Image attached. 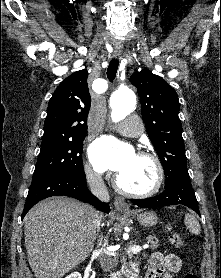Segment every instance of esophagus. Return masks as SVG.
I'll list each match as a JSON object with an SVG mask.
<instances>
[{"label": "esophagus", "instance_id": "obj_1", "mask_svg": "<svg viewBox=\"0 0 221 278\" xmlns=\"http://www.w3.org/2000/svg\"><path fill=\"white\" fill-rule=\"evenodd\" d=\"M113 55L115 57H118L120 55V50L115 49L113 51ZM114 206L119 211H129V205L127 204V202L125 201V199L123 197L116 196L114 199Z\"/></svg>", "mask_w": 221, "mask_h": 278}]
</instances>
